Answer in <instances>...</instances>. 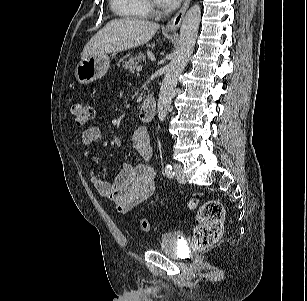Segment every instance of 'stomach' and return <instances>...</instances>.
<instances>
[{
  "instance_id": "obj_1",
  "label": "stomach",
  "mask_w": 307,
  "mask_h": 301,
  "mask_svg": "<svg viewBox=\"0 0 307 301\" xmlns=\"http://www.w3.org/2000/svg\"><path fill=\"white\" fill-rule=\"evenodd\" d=\"M110 67V58L106 54L88 57L75 69V77L81 84H89L103 77Z\"/></svg>"
}]
</instances>
